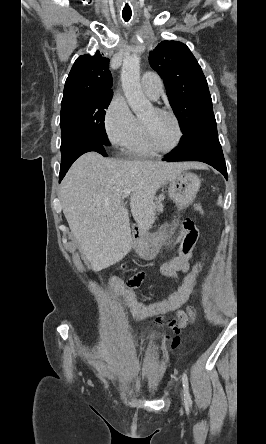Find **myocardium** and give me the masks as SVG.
<instances>
[{"instance_id":"f54148a6","label":"myocardium","mask_w":266,"mask_h":444,"mask_svg":"<svg viewBox=\"0 0 266 444\" xmlns=\"http://www.w3.org/2000/svg\"><path fill=\"white\" fill-rule=\"evenodd\" d=\"M153 109H154V111L156 113L170 116L174 120L176 128H177V138H176V141L174 142V144L170 148H168V149H161V148H159L158 146L155 145V143L151 139V136L149 134V131H148V128H147L146 124L142 120H140L141 131H142L144 142H145L146 146L152 152H154L156 154H167V153H170V152L176 150L180 146V144H181V142L183 140V135L184 134H183V128H182L180 119L171 110H168V109H165V108H158V107H155Z\"/></svg>"}]
</instances>
